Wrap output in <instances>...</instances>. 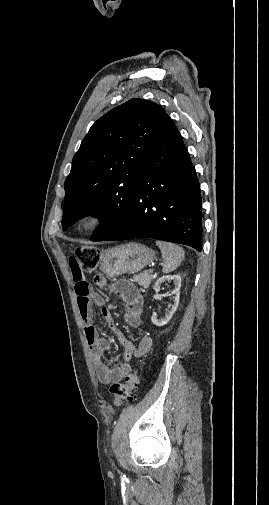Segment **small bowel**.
<instances>
[{
    "mask_svg": "<svg viewBox=\"0 0 269 505\" xmlns=\"http://www.w3.org/2000/svg\"><path fill=\"white\" fill-rule=\"evenodd\" d=\"M67 267L72 271L79 313L83 321L86 341L93 356L97 377L103 384L109 385L119 383L131 370L129 361L132 356L141 357L150 351L152 347V338L148 335H144L140 339L138 346L135 347L121 331L114 327L112 313L110 309L105 306L104 299L99 295L90 294L89 284L86 279L91 278L93 274H83L81 272V262L79 259H69ZM95 283L99 287H105L107 285L106 280L102 276H97L95 278ZM111 289L126 304V309L124 311L126 323L131 327L139 328L141 326L143 309V298L140 293L127 281H119L112 285ZM94 305L101 307V314L105 322L115 332L124 348L119 363L113 367H109L102 359L105 352L109 349V343L107 340L98 336L94 326L92 309Z\"/></svg>",
    "mask_w": 269,
    "mask_h": 505,
    "instance_id": "c3829d8e",
    "label": "small bowel"
}]
</instances>
